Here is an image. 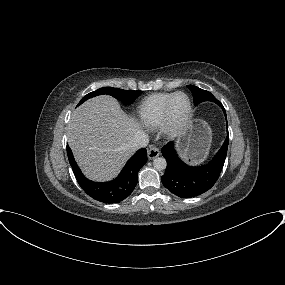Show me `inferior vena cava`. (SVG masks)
<instances>
[{"mask_svg": "<svg viewBox=\"0 0 285 285\" xmlns=\"http://www.w3.org/2000/svg\"><path fill=\"white\" fill-rule=\"evenodd\" d=\"M149 143L148 135L143 131H138L129 144V148L133 151L144 148Z\"/></svg>", "mask_w": 285, "mask_h": 285, "instance_id": "1", "label": "inferior vena cava"}]
</instances>
